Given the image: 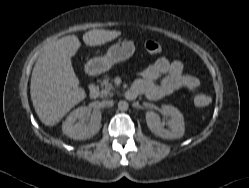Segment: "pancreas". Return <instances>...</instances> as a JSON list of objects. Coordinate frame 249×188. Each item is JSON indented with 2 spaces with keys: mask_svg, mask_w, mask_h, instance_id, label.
Here are the masks:
<instances>
[{
  "mask_svg": "<svg viewBox=\"0 0 249 188\" xmlns=\"http://www.w3.org/2000/svg\"><path fill=\"white\" fill-rule=\"evenodd\" d=\"M100 88H101V91H100L101 97H107V96L113 95V92L111 91L114 89V87H113L112 81L107 76L103 78Z\"/></svg>",
  "mask_w": 249,
  "mask_h": 188,
  "instance_id": "pancreas-1",
  "label": "pancreas"
}]
</instances>
